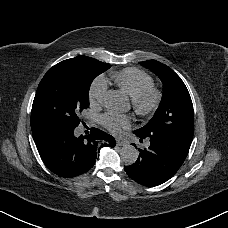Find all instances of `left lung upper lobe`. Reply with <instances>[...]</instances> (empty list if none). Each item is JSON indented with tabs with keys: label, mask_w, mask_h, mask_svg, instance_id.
I'll use <instances>...</instances> for the list:
<instances>
[{
	"label": "left lung upper lobe",
	"mask_w": 228,
	"mask_h": 228,
	"mask_svg": "<svg viewBox=\"0 0 228 228\" xmlns=\"http://www.w3.org/2000/svg\"><path fill=\"white\" fill-rule=\"evenodd\" d=\"M140 64L161 79L164 95L152 119L136 131L142 135L163 133L193 139V105L184 82L172 69L156 60Z\"/></svg>",
	"instance_id": "left-lung-upper-lobe-1"
}]
</instances>
